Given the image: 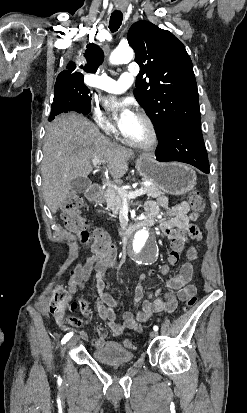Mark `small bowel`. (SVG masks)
Returning a JSON list of instances; mask_svg holds the SVG:
<instances>
[{"label":"small bowel","mask_w":247,"mask_h":413,"mask_svg":"<svg viewBox=\"0 0 247 413\" xmlns=\"http://www.w3.org/2000/svg\"><path fill=\"white\" fill-rule=\"evenodd\" d=\"M145 209L147 212L146 220L150 224L160 219L162 211H166L171 216V219L160 222L162 232L169 237L180 242L189 239H201L202 234L200 230L190 225L191 221L199 218L200 213L198 211L190 212L188 202L181 201L175 206L170 207L167 198L160 196L156 200L148 201ZM187 257L189 262L181 265L177 274L166 282L169 291L163 296H161V290L157 289L154 293L156 296L155 300H142L146 278L137 284L134 290V302L135 304L142 302V311L136 315L131 311L124 312L122 314V323L116 322L115 309L118 306L117 301L111 294L103 292L109 264L96 252L87 257L85 261L77 263L71 269L67 298L71 299L78 291L83 290L86 283L94 277L95 290L99 296L96 310L99 316L106 322L112 335L114 337L120 336L127 329L139 332L153 315L171 313L177 308L179 301H184L186 297L188 299H195L197 297L196 286L189 284L193 276L194 265L197 261V251L194 247L188 249ZM160 271L163 274L167 273L169 265H161ZM152 275L153 272H150L148 277ZM79 306L85 316H90L91 310L85 299H79ZM55 322L64 331H71L73 327H80L83 323L81 318L67 316L64 313L57 314ZM79 335L83 340H89L95 348L105 347L106 349H114L116 346L114 340H106L107 333L103 328L99 329V336L96 338L88 339L87 334L84 332H80Z\"/></svg>","instance_id":"small-bowel-1"}]
</instances>
